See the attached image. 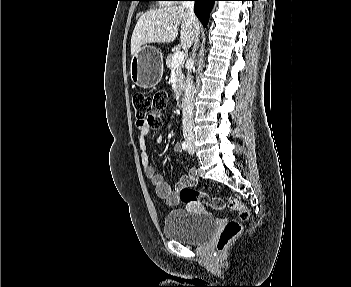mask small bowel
<instances>
[{"mask_svg": "<svg viewBox=\"0 0 351 287\" xmlns=\"http://www.w3.org/2000/svg\"><path fill=\"white\" fill-rule=\"evenodd\" d=\"M137 126L139 129V151L143 169L147 176L151 179L155 186L157 195L168 205H176L179 202V192L184 187L195 186L198 178L194 168L187 164V173L183 175L176 183L175 189L165 182L163 176L159 174L154 164L149 159V133L151 127L148 126V120H137ZM156 142L161 143L163 141L162 136L156 137ZM182 143L177 142L174 146L176 152L182 151Z\"/></svg>", "mask_w": 351, "mask_h": 287, "instance_id": "small-bowel-1", "label": "small bowel"}]
</instances>
